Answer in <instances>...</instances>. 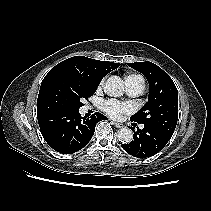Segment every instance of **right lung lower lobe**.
Listing matches in <instances>:
<instances>
[{
    "label": "right lung lower lobe",
    "instance_id": "98d812e1",
    "mask_svg": "<svg viewBox=\"0 0 211 211\" xmlns=\"http://www.w3.org/2000/svg\"><path fill=\"white\" fill-rule=\"evenodd\" d=\"M37 119L48 145L57 152L72 154L88 144L96 124L107 118L98 112L85 119L78 110H53L37 113Z\"/></svg>",
    "mask_w": 211,
    "mask_h": 211
}]
</instances>
